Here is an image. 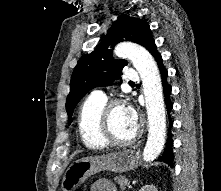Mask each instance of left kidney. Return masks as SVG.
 Here are the masks:
<instances>
[{
    "label": "left kidney",
    "mask_w": 221,
    "mask_h": 191,
    "mask_svg": "<svg viewBox=\"0 0 221 191\" xmlns=\"http://www.w3.org/2000/svg\"><path fill=\"white\" fill-rule=\"evenodd\" d=\"M139 191H158L153 185H145Z\"/></svg>",
    "instance_id": "5707ae66"
}]
</instances>
